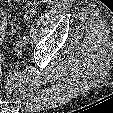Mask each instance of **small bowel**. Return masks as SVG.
I'll use <instances>...</instances> for the list:
<instances>
[{
	"instance_id": "c3829d8e",
	"label": "small bowel",
	"mask_w": 113,
	"mask_h": 113,
	"mask_svg": "<svg viewBox=\"0 0 113 113\" xmlns=\"http://www.w3.org/2000/svg\"><path fill=\"white\" fill-rule=\"evenodd\" d=\"M7 16L6 14L3 12L2 9H0V45H1V41H2V35H3V31L5 28V24L7 22Z\"/></svg>"
}]
</instances>
